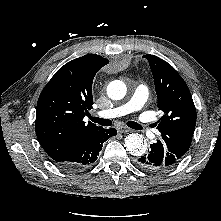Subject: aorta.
I'll return each mask as SVG.
<instances>
[{"mask_svg":"<svg viewBox=\"0 0 221 221\" xmlns=\"http://www.w3.org/2000/svg\"><path fill=\"white\" fill-rule=\"evenodd\" d=\"M127 87L121 80H114L108 84L107 95L112 100H121L125 97ZM124 146L126 150L134 155L141 156L146 152L147 145L143 136L138 133H131L125 138Z\"/></svg>","mask_w":221,"mask_h":221,"instance_id":"1","label":"aorta"}]
</instances>
